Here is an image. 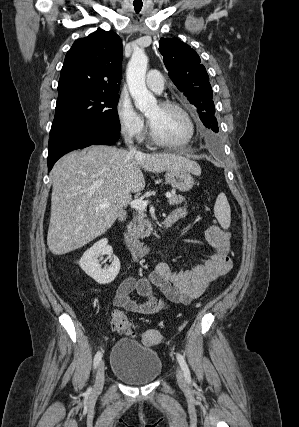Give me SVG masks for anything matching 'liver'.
Returning a JSON list of instances; mask_svg holds the SVG:
<instances>
[{"label":"liver","mask_w":299,"mask_h":427,"mask_svg":"<svg viewBox=\"0 0 299 427\" xmlns=\"http://www.w3.org/2000/svg\"><path fill=\"white\" fill-rule=\"evenodd\" d=\"M141 168L154 173L185 169L201 174L196 162L175 154L131 153L93 145L63 156L51 171L49 250L54 255L66 254L106 232L132 201V193L145 188ZM104 202L111 206L98 208Z\"/></svg>","instance_id":"liver-1"}]
</instances>
